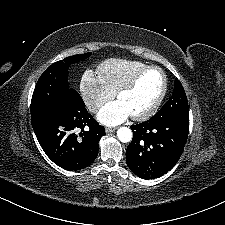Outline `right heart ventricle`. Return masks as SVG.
<instances>
[{"label": "right heart ventricle", "instance_id": "right-heart-ventricle-1", "mask_svg": "<svg viewBox=\"0 0 225 225\" xmlns=\"http://www.w3.org/2000/svg\"><path fill=\"white\" fill-rule=\"evenodd\" d=\"M145 66L147 65L140 61L111 58L99 64L98 72L105 86L115 94L120 87Z\"/></svg>", "mask_w": 225, "mask_h": 225}]
</instances>
